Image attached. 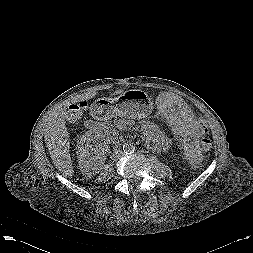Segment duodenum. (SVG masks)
<instances>
[{
  "label": "duodenum",
  "mask_w": 253,
  "mask_h": 253,
  "mask_svg": "<svg viewBox=\"0 0 253 253\" xmlns=\"http://www.w3.org/2000/svg\"><path fill=\"white\" fill-rule=\"evenodd\" d=\"M99 110H101V108H100L98 105H96V106L93 107V112H94V113H96V112L99 111ZM103 111H104V110H103Z\"/></svg>",
  "instance_id": "1"
}]
</instances>
